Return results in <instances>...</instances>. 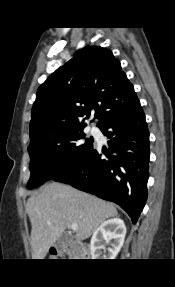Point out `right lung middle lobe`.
Instances as JSON below:
<instances>
[{"label":"right lung middle lobe","mask_w":175,"mask_h":287,"mask_svg":"<svg viewBox=\"0 0 175 287\" xmlns=\"http://www.w3.org/2000/svg\"><path fill=\"white\" fill-rule=\"evenodd\" d=\"M84 127L68 129L30 143L31 176L28 189L63 176L85 160L93 150V139L83 132Z\"/></svg>","instance_id":"dd1d6c3e"}]
</instances>
